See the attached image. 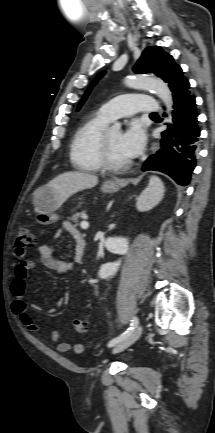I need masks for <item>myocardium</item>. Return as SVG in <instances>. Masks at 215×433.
Instances as JSON below:
<instances>
[{
  "instance_id": "f54148a6",
  "label": "myocardium",
  "mask_w": 215,
  "mask_h": 433,
  "mask_svg": "<svg viewBox=\"0 0 215 433\" xmlns=\"http://www.w3.org/2000/svg\"><path fill=\"white\" fill-rule=\"evenodd\" d=\"M99 158L102 167L112 170L120 171L129 168L132 165V161L116 162L113 160L110 154L107 140V132H104L99 143Z\"/></svg>"
}]
</instances>
